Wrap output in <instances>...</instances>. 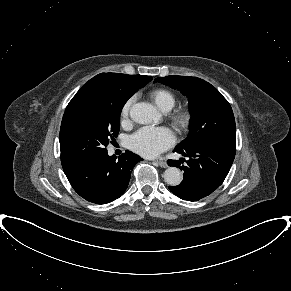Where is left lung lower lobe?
<instances>
[{
    "instance_id": "obj_1",
    "label": "left lung lower lobe",
    "mask_w": 291,
    "mask_h": 291,
    "mask_svg": "<svg viewBox=\"0 0 291 291\" xmlns=\"http://www.w3.org/2000/svg\"><path fill=\"white\" fill-rule=\"evenodd\" d=\"M236 151L235 138H217L195 146L176 147L175 152L188 157L168 160L169 166L183 169V181L177 186H169L171 192L183 200L198 201L214 192L225 180L233 163Z\"/></svg>"
}]
</instances>
